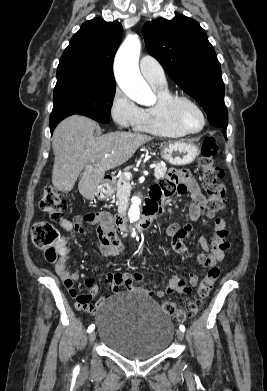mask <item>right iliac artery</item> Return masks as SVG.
I'll return each mask as SVG.
<instances>
[{
	"label": "right iliac artery",
	"mask_w": 267,
	"mask_h": 391,
	"mask_svg": "<svg viewBox=\"0 0 267 391\" xmlns=\"http://www.w3.org/2000/svg\"><path fill=\"white\" fill-rule=\"evenodd\" d=\"M94 328H95L94 324L90 325V326L88 327V332H91V331H93V330H94Z\"/></svg>",
	"instance_id": "right-iliac-artery-1"
}]
</instances>
